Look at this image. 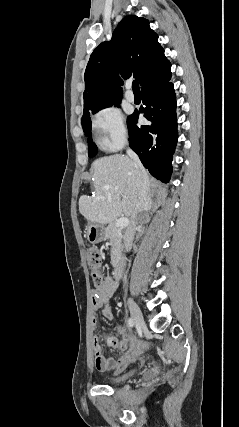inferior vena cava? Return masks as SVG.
Returning <instances> with one entry per match:
<instances>
[{"label":"inferior vena cava","instance_id":"inferior-vena-cava-1","mask_svg":"<svg viewBox=\"0 0 239 427\" xmlns=\"http://www.w3.org/2000/svg\"><path fill=\"white\" fill-rule=\"evenodd\" d=\"M128 156L132 159L134 166L137 170V173L139 175V194L138 198L135 202L134 211L131 216V221L129 226L127 227L125 234H124V247L126 251H130L132 248V242L134 239L136 226L141 221L143 215L145 212L150 208L151 206V198L149 195V187L150 182L148 175L138 157V155L128 148L127 150ZM124 281H126V275H124L123 278Z\"/></svg>","mask_w":239,"mask_h":427}]
</instances>
